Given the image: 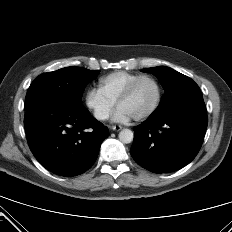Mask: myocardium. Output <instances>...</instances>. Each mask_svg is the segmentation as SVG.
I'll use <instances>...</instances> for the list:
<instances>
[{"instance_id": "obj_1", "label": "myocardium", "mask_w": 232, "mask_h": 232, "mask_svg": "<svg viewBox=\"0 0 232 232\" xmlns=\"http://www.w3.org/2000/svg\"><path fill=\"white\" fill-rule=\"evenodd\" d=\"M143 80H150L154 83L155 87H156V99L154 104L152 105V107L145 112L144 114L134 117L135 120L140 121V120H145L149 117H151L158 109L161 100H162V88L161 85L159 83V81L153 77L152 75H148V74H143L140 75L139 77H137L135 80H133L130 85L127 87V89L123 92V94L118 98L116 104L118 107H120V105L125 102L126 100H128L134 93V91L136 90L138 84L143 81Z\"/></svg>"}]
</instances>
